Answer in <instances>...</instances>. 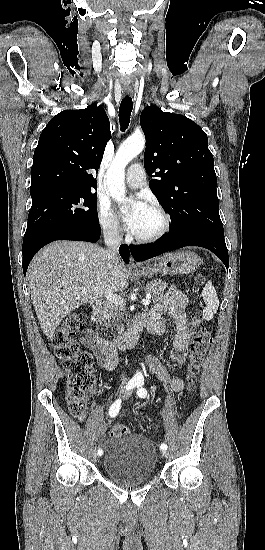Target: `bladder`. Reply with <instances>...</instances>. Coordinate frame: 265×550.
I'll use <instances>...</instances> for the list:
<instances>
[{
  "label": "bladder",
  "instance_id": "1",
  "mask_svg": "<svg viewBox=\"0 0 265 550\" xmlns=\"http://www.w3.org/2000/svg\"><path fill=\"white\" fill-rule=\"evenodd\" d=\"M157 455L148 439L139 434L112 437L102 453L105 475L125 485L141 484L154 474Z\"/></svg>",
  "mask_w": 265,
  "mask_h": 550
}]
</instances>
